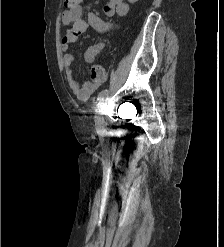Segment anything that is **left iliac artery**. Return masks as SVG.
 Returning a JSON list of instances; mask_svg holds the SVG:
<instances>
[{"instance_id": "obj_1", "label": "left iliac artery", "mask_w": 224, "mask_h": 247, "mask_svg": "<svg viewBox=\"0 0 224 247\" xmlns=\"http://www.w3.org/2000/svg\"><path fill=\"white\" fill-rule=\"evenodd\" d=\"M107 93H108V90H107V89L102 90V91L99 93L97 100H98V101H101V100L107 95Z\"/></svg>"}]
</instances>
